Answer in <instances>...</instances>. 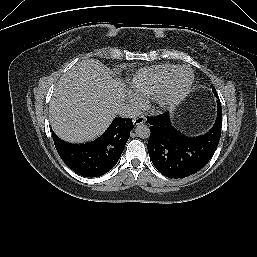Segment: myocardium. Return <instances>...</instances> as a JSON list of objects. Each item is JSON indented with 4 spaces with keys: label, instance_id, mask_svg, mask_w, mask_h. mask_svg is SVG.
Here are the masks:
<instances>
[{
    "label": "myocardium",
    "instance_id": "myocardium-1",
    "mask_svg": "<svg viewBox=\"0 0 257 257\" xmlns=\"http://www.w3.org/2000/svg\"><path fill=\"white\" fill-rule=\"evenodd\" d=\"M181 71L188 73L189 78L186 84L179 90H171L172 79ZM194 82V74L187 67H176L170 71L163 79L155 95L151 98L158 108H167L180 102L190 91Z\"/></svg>",
    "mask_w": 257,
    "mask_h": 257
}]
</instances>
